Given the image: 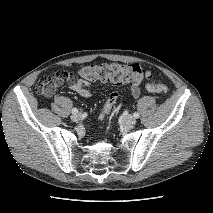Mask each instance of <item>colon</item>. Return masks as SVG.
I'll list each match as a JSON object with an SVG mask.
<instances>
[{"mask_svg":"<svg viewBox=\"0 0 213 213\" xmlns=\"http://www.w3.org/2000/svg\"><path fill=\"white\" fill-rule=\"evenodd\" d=\"M79 76L90 82H108L116 85L128 84L132 86L139 85L143 82L147 83V90L153 93H165L168 86L165 84H156L149 82L152 78L151 73L139 64H118V63H102L93 64L83 67L79 71ZM74 76L64 70L55 72L52 76L44 77L38 85V91L43 93L51 83H62L65 81H73ZM119 99L117 91L112 92L106 100L101 117L108 118Z\"/></svg>","mask_w":213,"mask_h":213,"instance_id":"1","label":"colon"}]
</instances>
